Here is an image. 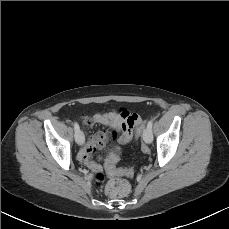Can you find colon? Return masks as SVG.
<instances>
[{
    "mask_svg": "<svg viewBox=\"0 0 229 229\" xmlns=\"http://www.w3.org/2000/svg\"><path fill=\"white\" fill-rule=\"evenodd\" d=\"M128 126L133 130H135V133L137 136L141 135L143 124L141 122V119L138 115H135L131 118ZM116 158H119V153L117 154ZM104 180V174L102 172H99L97 174V181L99 183H102ZM106 193L113 199H122L129 195L130 193V185L129 183L123 179V178H112L109 180L107 186H106Z\"/></svg>",
    "mask_w": 229,
    "mask_h": 229,
    "instance_id": "5ec220e1",
    "label": "colon"
}]
</instances>
